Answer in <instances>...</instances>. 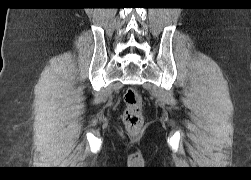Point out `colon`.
<instances>
[{"instance_id": "obj_1", "label": "colon", "mask_w": 251, "mask_h": 180, "mask_svg": "<svg viewBox=\"0 0 251 180\" xmlns=\"http://www.w3.org/2000/svg\"><path fill=\"white\" fill-rule=\"evenodd\" d=\"M125 109L123 112V121L127 129L131 132L138 131L143 125V100L140 93L129 88L124 94Z\"/></svg>"}]
</instances>
